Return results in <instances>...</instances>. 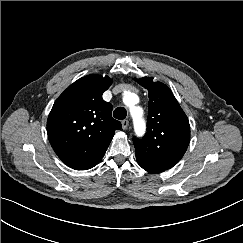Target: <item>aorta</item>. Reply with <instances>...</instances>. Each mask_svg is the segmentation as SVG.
Returning <instances> with one entry per match:
<instances>
[{"label": "aorta", "mask_w": 243, "mask_h": 243, "mask_svg": "<svg viewBox=\"0 0 243 243\" xmlns=\"http://www.w3.org/2000/svg\"><path fill=\"white\" fill-rule=\"evenodd\" d=\"M134 98H135V95L129 93L124 97V102L126 105L131 106V113H132V116L134 117L136 128H137L138 132H142L143 131V121L141 119L142 112L139 107H133Z\"/></svg>", "instance_id": "1"}]
</instances>
